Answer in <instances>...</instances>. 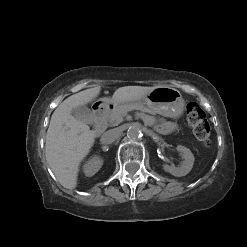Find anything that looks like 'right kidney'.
<instances>
[{"label": "right kidney", "instance_id": "obj_1", "mask_svg": "<svg viewBox=\"0 0 247 247\" xmlns=\"http://www.w3.org/2000/svg\"><path fill=\"white\" fill-rule=\"evenodd\" d=\"M103 165V159L99 156L90 158L83 166V171L86 176L90 177L97 173Z\"/></svg>", "mask_w": 247, "mask_h": 247}]
</instances>
